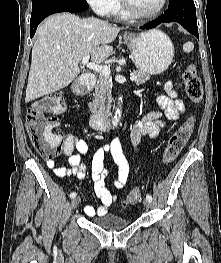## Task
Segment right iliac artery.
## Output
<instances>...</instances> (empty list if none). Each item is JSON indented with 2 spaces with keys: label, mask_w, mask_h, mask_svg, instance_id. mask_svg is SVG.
Instances as JSON below:
<instances>
[{
  "label": "right iliac artery",
  "mask_w": 221,
  "mask_h": 263,
  "mask_svg": "<svg viewBox=\"0 0 221 263\" xmlns=\"http://www.w3.org/2000/svg\"><path fill=\"white\" fill-rule=\"evenodd\" d=\"M76 192H72V193H70V198H74V197H76Z\"/></svg>",
  "instance_id": "right-iliac-artery-1"
}]
</instances>
